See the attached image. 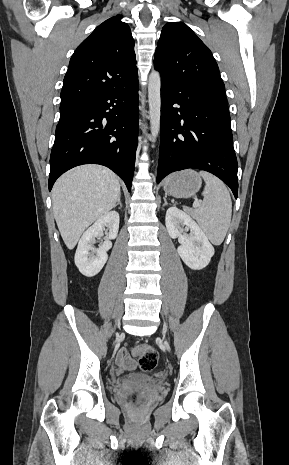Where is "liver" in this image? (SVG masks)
I'll use <instances>...</instances> for the list:
<instances>
[{"label": "liver", "instance_id": "6515ba94", "mask_svg": "<svg viewBox=\"0 0 289 465\" xmlns=\"http://www.w3.org/2000/svg\"><path fill=\"white\" fill-rule=\"evenodd\" d=\"M117 175L101 165H82L63 174L52 189L54 217L68 249L84 230L111 210L119 196Z\"/></svg>", "mask_w": 289, "mask_h": 465}]
</instances>
